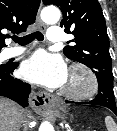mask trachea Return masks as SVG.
<instances>
[{
	"instance_id": "obj_1",
	"label": "trachea",
	"mask_w": 117,
	"mask_h": 131,
	"mask_svg": "<svg viewBox=\"0 0 117 131\" xmlns=\"http://www.w3.org/2000/svg\"><path fill=\"white\" fill-rule=\"evenodd\" d=\"M34 39H37L38 41H43L44 36L40 31H36L24 37H17V36L12 37V40L14 42L22 46L31 43Z\"/></svg>"
}]
</instances>
